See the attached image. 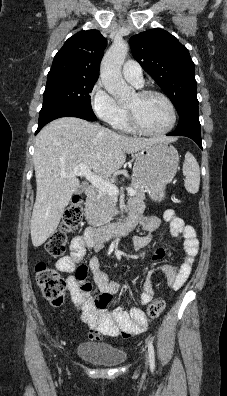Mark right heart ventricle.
I'll use <instances>...</instances> for the list:
<instances>
[{
	"label": "right heart ventricle",
	"mask_w": 227,
	"mask_h": 396,
	"mask_svg": "<svg viewBox=\"0 0 227 396\" xmlns=\"http://www.w3.org/2000/svg\"><path fill=\"white\" fill-rule=\"evenodd\" d=\"M112 125L121 132L130 133L134 131L129 124L126 108H122L121 115Z\"/></svg>",
	"instance_id": "right-heart-ventricle-1"
}]
</instances>
